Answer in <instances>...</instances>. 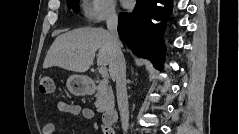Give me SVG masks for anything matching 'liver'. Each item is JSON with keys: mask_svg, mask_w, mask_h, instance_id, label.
<instances>
[{"mask_svg": "<svg viewBox=\"0 0 239 134\" xmlns=\"http://www.w3.org/2000/svg\"><path fill=\"white\" fill-rule=\"evenodd\" d=\"M97 50L98 66H110L113 44L109 32L103 28H78L55 39L43 68L58 66L73 72H86L93 64Z\"/></svg>", "mask_w": 239, "mask_h": 134, "instance_id": "obj_1", "label": "liver"}]
</instances>
